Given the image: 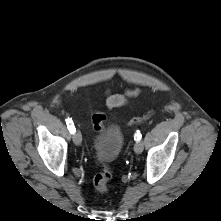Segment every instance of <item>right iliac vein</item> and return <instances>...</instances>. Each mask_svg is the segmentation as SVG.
<instances>
[{
  "label": "right iliac vein",
  "mask_w": 221,
  "mask_h": 221,
  "mask_svg": "<svg viewBox=\"0 0 221 221\" xmlns=\"http://www.w3.org/2000/svg\"><path fill=\"white\" fill-rule=\"evenodd\" d=\"M73 142L76 145H80L81 144V142H82V135H81V133L79 131H76L73 134Z\"/></svg>",
  "instance_id": "1"
}]
</instances>
